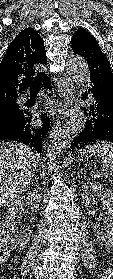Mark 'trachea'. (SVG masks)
Returning a JSON list of instances; mask_svg holds the SVG:
<instances>
[{"mask_svg": "<svg viewBox=\"0 0 113 279\" xmlns=\"http://www.w3.org/2000/svg\"><path fill=\"white\" fill-rule=\"evenodd\" d=\"M26 83L30 86V89H38L41 85V82L38 79H29Z\"/></svg>", "mask_w": 113, "mask_h": 279, "instance_id": "trachea-1", "label": "trachea"}]
</instances>
